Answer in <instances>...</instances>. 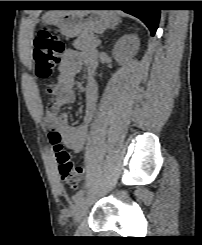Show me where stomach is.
<instances>
[{
  "label": "stomach",
  "mask_w": 202,
  "mask_h": 245,
  "mask_svg": "<svg viewBox=\"0 0 202 245\" xmlns=\"http://www.w3.org/2000/svg\"><path fill=\"white\" fill-rule=\"evenodd\" d=\"M46 25L57 26L66 37H75L81 33H101L114 28L119 18L108 10L85 11H49L42 17Z\"/></svg>",
  "instance_id": "stomach-1"
}]
</instances>
